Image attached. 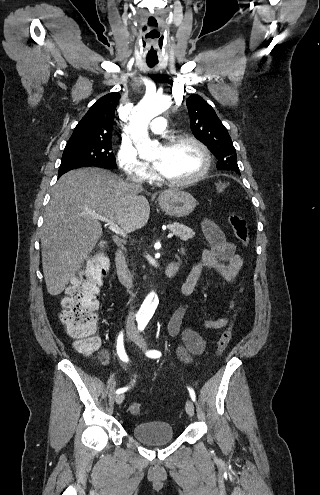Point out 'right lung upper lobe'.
<instances>
[{
    "mask_svg": "<svg viewBox=\"0 0 320 495\" xmlns=\"http://www.w3.org/2000/svg\"><path fill=\"white\" fill-rule=\"evenodd\" d=\"M120 94L109 93L96 101L77 124L68 142H111Z\"/></svg>",
    "mask_w": 320,
    "mask_h": 495,
    "instance_id": "right-lung-upper-lobe-1",
    "label": "right lung upper lobe"
}]
</instances>
